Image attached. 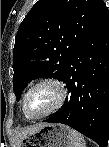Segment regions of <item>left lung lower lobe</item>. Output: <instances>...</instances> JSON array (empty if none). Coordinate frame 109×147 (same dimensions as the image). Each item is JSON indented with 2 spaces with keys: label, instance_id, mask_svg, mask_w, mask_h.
Instances as JSON below:
<instances>
[{
  "label": "left lung lower lobe",
  "instance_id": "obj_1",
  "mask_svg": "<svg viewBox=\"0 0 109 147\" xmlns=\"http://www.w3.org/2000/svg\"><path fill=\"white\" fill-rule=\"evenodd\" d=\"M69 96L44 122L68 125L107 147L109 139V12L106 9L73 53L63 79Z\"/></svg>",
  "mask_w": 109,
  "mask_h": 147
}]
</instances>
